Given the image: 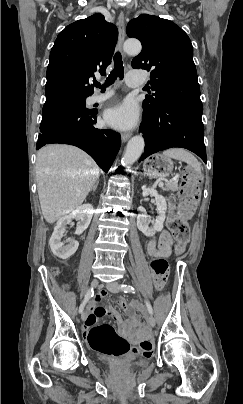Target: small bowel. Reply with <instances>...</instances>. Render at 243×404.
Listing matches in <instances>:
<instances>
[{
  "mask_svg": "<svg viewBox=\"0 0 243 404\" xmlns=\"http://www.w3.org/2000/svg\"><path fill=\"white\" fill-rule=\"evenodd\" d=\"M169 240V234L167 232H162L160 239H159V244L157 240L152 239L148 242L147 245V252L151 257H160L165 255V251L163 249L164 244ZM105 293L100 292L95 301L98 303L103 297ZM107 314L114 315L118 322H119V333L121 336L128 338L132 341L136 340L137 335L132 332L133 327L137 324L136 320H132L126 323H123L121 319L117 316L115 310L111 307H102L95 305L90 309L89 314H87L86 319L84 320V325H83V331L84 333H87L88 330L93 327L97 320Z\"/></svg>",
  "mask_w": 243,
  "mask_h": 404,
  "instance_id": "small-bowel-1",
  "label": "small bowel"
}]
</instances>
